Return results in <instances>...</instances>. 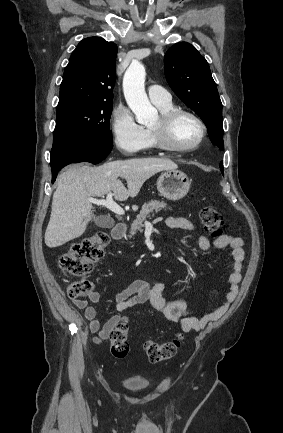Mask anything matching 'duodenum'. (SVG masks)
Wrapping results in <instances>:
<instances>
[{"label":"duodenum","instance_id":"410a0bca","mask_svg":"<svg viewBox=\"0 0 283 433\" xmlns=\"http://www.w3.org/2000/svg\"><path fill=\"white\" fill-rule=\"evenodd\" d=\"M126 230H127L126 225L122 222H119L115 224L114 227L112 228L111 236L114 240H120L125 235Z\"/></svg>","mask_w":283,"mask_h":433}]
</instances>
